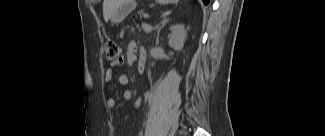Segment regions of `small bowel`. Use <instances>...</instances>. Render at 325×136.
<instances>
[{
  "mask_svg": "<svg viewBox=\"0 0 325 136\" xmlns=\"http://www.w3.org/2000/svg\"><path fill=\"white\" fill-rule=\"evenodd\" d=\"M120 63L121 62H113L112 63V66L113 67L118 66V65H120ZM113 77H114L113 70L112 69H107L105 71V74H104L105 81L106 82H110V81H112ZM118 82H119L120 85L126 86L129 83V77H128V75H126V74L119 75L118 76ZM132 97H133V93H132V91L130 89H125L123 91L122 98L125 101H130L132 99ZM116 104H117V100H116L115 97H113V96L107 97V99H106V105H107V107L114 108L116 106ZM141 104H142L141 98H137L133 102V107L134 108H139L141 106Z\"/></svg>",
  "mask_w": 325,
  "mask_h": 136,
  "instance_id": "1",
  "label": "small bowel"
}]
</instances>
